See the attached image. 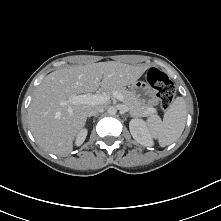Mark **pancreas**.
<instances>
[{"label": "pancreas", "mask_w": 221, "mask_h": 221, "mask_svg": "<svg viewBox=\"0 0 221 221\" xmlns=\"http://www.w3.org/2000/svg\"><path fill=\"white\" fill-rule=\"evenodd\" d=\"M114 91L119 92L123 96V103L127 106L131 116L137 117V116H142V115H147V114H155L156 109H154V112L150 111V108L148 105L142 104L136 96L127 90L123 86H115V87H110L106 89L107 94H112Z\"/></svg>", "instance_id": "1"}]
</instances>
